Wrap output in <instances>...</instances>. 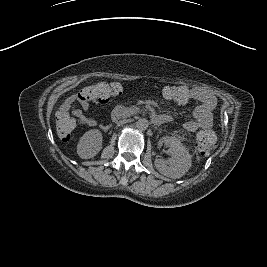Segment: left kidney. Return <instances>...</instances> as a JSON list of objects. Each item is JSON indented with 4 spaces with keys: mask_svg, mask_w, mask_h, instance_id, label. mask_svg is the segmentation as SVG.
Wrapping results in <instances>:
<instances>
[{
    "mask_svg": "<svg viewBox=\"0 0 267 267\" xmlns=\"http://www.w3.org/2000/svg\"><path fill=\"white\" fill-rule=\"evenodd\" d=\"M160 144L166 145L171 156L169 160L157 158L154 161L155 168L164 176L179 179L184 176L192 165V158L188 149L180 140L165 136L159 141Z\"/></svg>",
    "mask_w": 267,
    "mask_h": 267,
    "instance_id": "left-kidney-1",
    "label": "left kidney"
}]
</instances>
